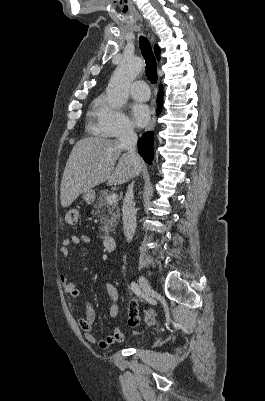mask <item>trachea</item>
<instances>
[{"mask_svg":"<svg viewBox=\"0 0 265 401\" xmlns=\"http://www.w3.org/2000/svg\"><path fill=\"white\" fill-rule=\"evenodd\" d=\"M139 44L141 53L146 63V76L151 83H156L158 79V75L156 73L157 63L150 42L146 37H140Z\"/></svg>","mask_w":265,"mask_h":401,"instance_id":"1","label":"trachea"}]
</instances>
